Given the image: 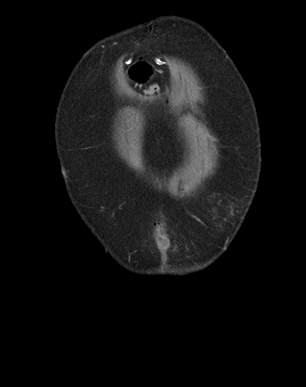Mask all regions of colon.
I'll return each mask as SVG.
<instances>
[{
  "instance_id": "5ec220e1",
  "label": "colon",
  "mask_w": 306,
  "mask_h": 387,
  "mask_svg": "<svg viewBox=\"0 0 306 387\" xmlns=\"http://www.w3.org/2000/svg\"><path fill=\"white\" fill-rule=\"evenodd\" d=\"M159 94V87L157 85H151L148 89L149 96H157Z\"/></svg>"
}]
</instances>
